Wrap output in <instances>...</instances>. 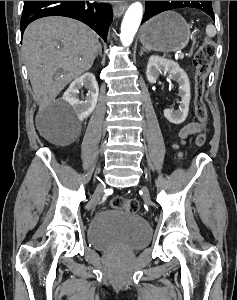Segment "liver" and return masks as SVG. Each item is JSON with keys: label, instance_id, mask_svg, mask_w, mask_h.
Wrapping results in <instances>:
<instances>
[{"label": "liver", "instance_id": "liver-1", "mask_svg": "<svg viewBox=\"0 0 237 300\" xmlns=\"http://www.w3.org/2000/svg\"><path fill=\"white\" fill-rule=\"evenodd\" d=\"M98 35L67 17H44L28 25L22 53L37 101H52L91 69L99 51Z\"/></svg>", "mask_w": 237, "mask_h": 300}]
</instances>
